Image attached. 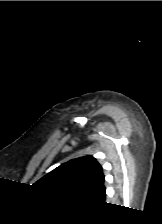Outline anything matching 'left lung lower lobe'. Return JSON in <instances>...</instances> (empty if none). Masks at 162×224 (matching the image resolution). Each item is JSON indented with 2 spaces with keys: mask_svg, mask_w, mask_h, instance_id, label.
I'll use <instances>...</instances> for the list:
<instances>
[{
  "mask_svg": "<svg viewBox=\"0 0 162 224\" xmlns=\"http://www.w3.org/2000/svg\"><path fill=\"white\" fill-rule=\"evenodd\" d=\"M90 200L98 203H103L105 200V187L103 186L101 189L93 193L90 197Z\"/></svg>",
  "mask_w": 162,
  "mask_h": 224,
  "instance_id": "0a47b994",
  "label": "left lung lower lobe"
}]
</instances>
